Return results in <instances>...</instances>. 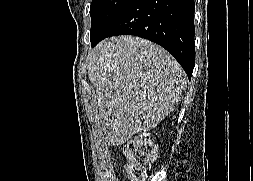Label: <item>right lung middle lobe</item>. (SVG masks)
I'll return each mask as SVG.
<instances>
[{
    "label": "right lung middle lobe",
    "mask_w": 253,
    "mask_h": 181,
    "mask_svg": "<svg viewBox=\"0 0 253 181\" xmlns=\"http://www.w3.org/2000/svg\"><path fill=\"white\" fill-rule=\"evenodd\" d=\"M130 1L131 0H92L90 7V15L92 18L91 35L100 34Z\"/></svg>",
    "instance_id": "right-lung-middle-lobe-1"
}]
</instances>
